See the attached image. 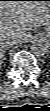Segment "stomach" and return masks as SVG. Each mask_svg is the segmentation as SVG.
Masks as SVG:
<instances>
[{
	"instance_id": "stomach-1",
	"label": "stomach",
	"mask_w": 50,
	"mask_h": 111,
	"mask_svg": "<svg viewBox=\"0 0 50 111\" xmlns=\"http://www.w3.org/2000/svg\"><path fill=\"white\" fill-rule=\"evenodd\" d=\"M43 26H44V30H45V32L44 33H42V36H44V37H48L49 36V30H50V23L49 22H45L44 24H43Z\"/></svg>"
}]
</instances>
